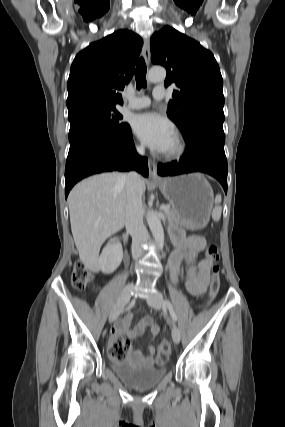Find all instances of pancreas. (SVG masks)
I'll return each mask as SVG.
<instances>
[{
    "instance_id": "pancreas-1",
    "label": "pancreas",
    "mask_w": 285,
    "mask_h": 427,
    "mask_svg": "<svg viewBox=\"0 0 285 427\" xmlns=\"http://www.w3.org/2000/svg\"><path fill=\"white\" fill-rule=\"evenodd\" d=\"M168 210H165V215L167 216L170 223H178L180 222L179 216L177 212L170 206H168Z\"/></svg>"
}]
</instances>
